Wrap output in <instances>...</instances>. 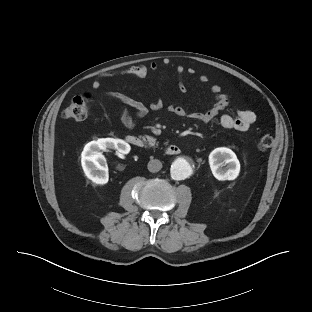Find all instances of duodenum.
<instances>
[{
	"mask_svg": "<svg viewBox=\"0 0 312 312\" xmlns=\"http://www.w3.org/2000/svg\"><path fill=\"white\" fill-rule=\"evenodd\" d=\"M126 141L130 145H132L134 147H138V148H145L149 145V140H147L146 138H142L140 136H137V135H128L126 137ZM180 152H181L180 146L175 145V144L168 146L166 149V153L169 155H177Z\"/></svg>",
	"mask_w": 312,
	"mask_h": 312,
	"instance_id": "1",
	"label": "duodenum"
}]
</instances>
